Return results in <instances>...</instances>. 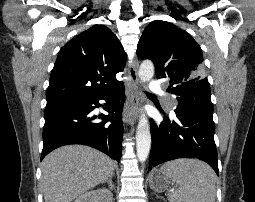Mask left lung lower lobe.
I'll return each instance as SVG.
<instances>
[{"label":"left lung lower lobe","mask_w":255,"mask_h":202,"mask_svg":"<svg viewBox=\"0 0 255 202\" xmlns=\"http://www.w3.org/2000/svg\"><path fill=\"white\" fill-rule=\"evenodd\" d=\"M175 113V120L165 116L159 126L151 120L149 170L177 158H198L208 163L218 175L213 117L197 112Z\"/></svg>","instance_id":"obj_1"}]
</instances>
